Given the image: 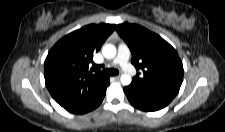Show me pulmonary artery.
I'll list each match as a JSON object with an SVG mask.
<instances>
[{"label":"pulmonary artery","instance_id":"obj_1","mask_svg":"<svg viewBox=\"0 0 225 132\" xmlns=\"http://www.w3.org/2000/svg\"><path fill=\"white\" fill-rule=\"evenodd\" d=\"M129 60V49L124 43H120L118 46V53L116 58L110 65L119 64L125 71L131 72L132 67L128 62Z\"/></svg>","mask_w":225,"mask_h":132}]
</instances>
